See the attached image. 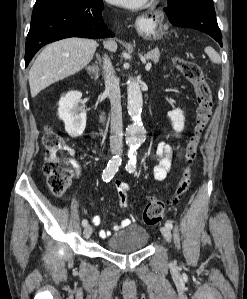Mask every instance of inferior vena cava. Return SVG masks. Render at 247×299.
<instances>
[{"instance_id":"602c4592","label":"inferior vena cava","mask_w":247,"mask_h":299,"mask_svg":"<svg viewBox=\"0 0 247 299\" xmlns=\"http://www.w3.org/2000/svg\"><path fill=\"white\" fill-rule=\"evenodd\" d=\"M103 73L105 78V91L111 103V125H110V150L112 153L122 152V108L119 81L114 76V69L110 59L105 55Z\"/></svg>"}]
</instances>
